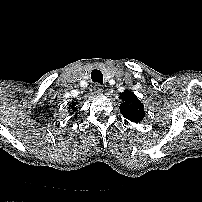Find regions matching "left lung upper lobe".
<instances>
[{
    "instance_id": "5c2ea615",
    "label": "left lung upper lobe",
    "mask_w": 202,
    "mask_h": 202,
    "mask_svg": "<svg viewBox=\"0 0 202 202\" xmlns=\"http://www.w3.org/2000/svg\"><path fill=\"white\" fill-rule=\"evenodd\" d=\"M120 99H122L123 103L120 105V112L124 115L128 120L138 123L142 121L145 116L144 106L138 100L136 95L130 91H124L121 93Z\"/></svg>"
}]
</instances>
